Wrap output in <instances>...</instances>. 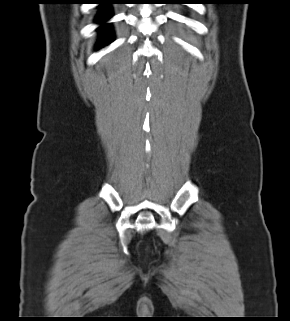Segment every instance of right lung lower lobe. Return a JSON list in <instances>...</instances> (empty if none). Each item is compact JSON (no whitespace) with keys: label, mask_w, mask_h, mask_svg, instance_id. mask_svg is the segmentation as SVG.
<instances>
[{"label":"right lung lower lobe","mask_w":290,"mask_h":321,"mask_svg":"<svg viewBox=\"0 0 290 321\" xmlns=\"http://www.w3.org/2000/svg\"><path fill=\"white\" fill-rule=\"evenodd\" d=\"M100 4V11L97 15V22L103 23L111 18V11L107 5L114 3L113 0H96ZM101 36L99 38V45L103 46L108 44L112 39V32L107 25H102L99 27Z\"/></svg>","instance_id":"98d812e1"}]
</instances>
